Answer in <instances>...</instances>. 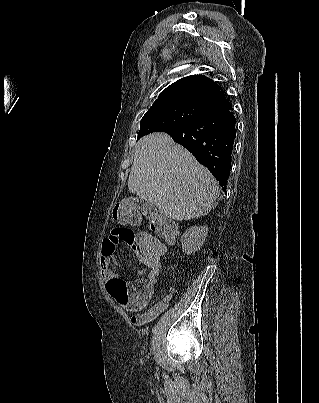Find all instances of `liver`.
<instances>
[{
    "instance_id": "1",
    "label": "liver",
    "mask_w": 319,
    "mask_h": 403,
    "mask_svg": "<svg viewBox=\"0 0 319 403\" xmlns=\"http://www.w3.org/2000/svg\"><path fill=\"white\" fill-rule=\"evenodd\" d=\"M128 188L177 221L208 214L220 193L209 170L163 132L144 136L136 144Z\"/></svg>"
}]
</instances>
